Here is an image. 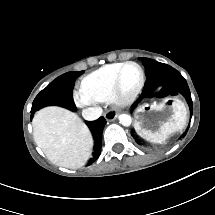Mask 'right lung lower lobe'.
I'll return each mask as SVG.
<instances>
[{
	"instance_id": "obj_1",
	"label": "right lung lower lobe",
	"mask_w": 215,
	"mask_h": 215,
	"mask_svg": "<svg viewBox=\"0 0 215 215\" xmlns=\"http://www.w3.org/2000/svg\"><path fill=\"white\" fill-rule=\"evenodd\" d=\"M106 124V120L103 117H100L96 121L87 122L91 132L93 133L95 145L93 151V157L88 162V165H91L95 160L98 159L101 153V145H102V131Z\"/></svg>"
}]
</instances>
